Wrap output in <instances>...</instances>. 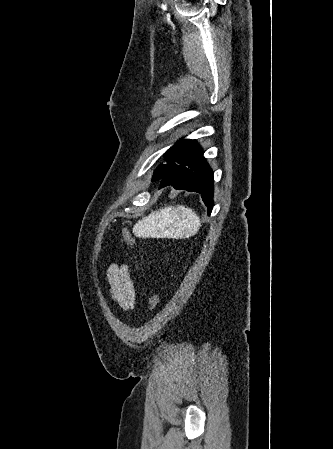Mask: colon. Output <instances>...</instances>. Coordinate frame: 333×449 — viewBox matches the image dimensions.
I'll return each mask as SVG.
<instances>
[{
    "mask_svg": "<svg viewBox=\"0 0 333 449\" xmlns=\"http://www.w3.org/2000/svg\"><path fill=\"white\" fill-rule=\"evenodd\" d=\"M121 234H122L123 241L127 245H129V246H134L135 245V238H134V236L126 228H124L122 230ZM159 302H160L159 297L156 294L150 295L149 300H148L149 309L150 310L156 309L158 307V305H159Z\"/></svg>",
    "mask_w": 333,
    "mask_h": 449,
    "instance_id": "colon-1",
    "label": "colon"
}]
</instances>
